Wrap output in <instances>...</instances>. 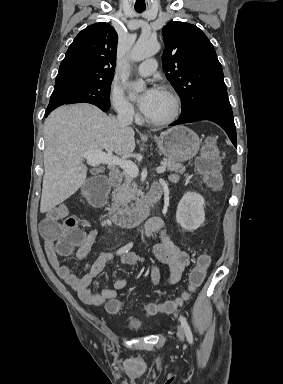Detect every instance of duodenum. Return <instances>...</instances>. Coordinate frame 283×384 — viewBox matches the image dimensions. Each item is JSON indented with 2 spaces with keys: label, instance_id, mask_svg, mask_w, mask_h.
<instances>
[{
  "label": "duodenum",
  "instance_id": "410a0bca",
  "mask_svg": "<svg viewBox=\"0 0 283 384\" xmlns=\"http://www.w3.org/2000/svg\"><path fill=\"white\" fill-rule=\"evenodd\" d=\"M109 179L113 184L121 181V172L116 169L110 175ZM162 187L158 183H154L147 191L144 202L136 210L125 213L117 210L110 212L111 220L120 226H136L140 224L151 212L162 196Z\"/></svg>",
  "mask_w": 283,
  "mask_h": 384
}]
</instances>
